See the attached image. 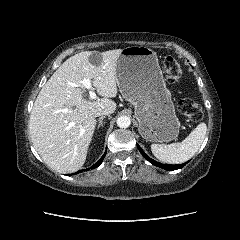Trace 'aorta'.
I'll use <instances>...</instances> for the list:
<instances>
[{
	"instance_id": "aorta-1",
	"label": "aorta",
	"mask_w": 240,
	"mask_h": 240,
	"mask_svg": "<svg viewBox=\"0 0 240 240\" xmlns=\"http://www.w3.org/2000/svg\"><path fill=\"white\" fill-rule=\"evenodd\" d=\"M131 124V119L128 116H120L117 119V126L120 128H128Z\"/></svg>"
}]
</instances>
